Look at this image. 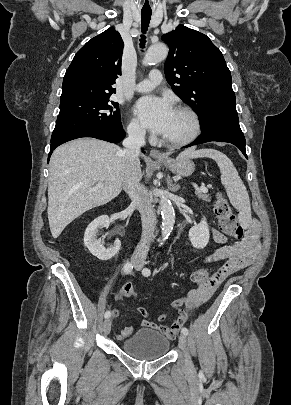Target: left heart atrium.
Segmentation results:
<instances>
[{"label": "left heart atrium", "instance_id": "left-heart-atrium-1", "mask_svg": "<svg viewBox=\"0 0 291 405\" xmlns=\"http://www.w3.org/2000/svg\"><path fill=\"white\" fill-rule=\"evenodd\" d=\"M174 108L166 98L145 96L135 104L133 112L148 129L164 134L171 122Z\"/></svg>", "mask_w": 291, "mask_h": 405}]
</instances>
